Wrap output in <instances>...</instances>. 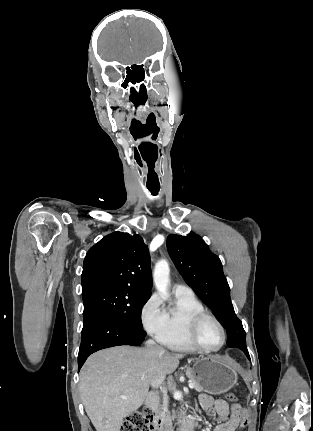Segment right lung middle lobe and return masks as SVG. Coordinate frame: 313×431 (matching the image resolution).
<instances>
[{"label":"right lung middle lobe","instance_id":"dd1d6c3e","mask_svg":"<svg viewBox=\"0 0 313 431\" xmlns=\"http://www.w3.org/2000/svg\"><path fill=\"white\" fill-rule=\"evenodd\" d=\"M150 296L127 287L97 291L83 297V320L87 322L94 316L106 315L143 331L141 312Z\"/></svg>","mask_w":313,"mask_h":431}]
</instances>
